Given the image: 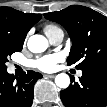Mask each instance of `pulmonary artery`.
<instances>
[{
  "mask_svg": "<svg viewBox=\"0 0 107 107\" xmlns=\"http://www.w3.org/2000/svg\"><path fill=\"white\" fill-rule=\"evenodd\" d=\"M49 39L53 44H60L64 39V33H63V31H59V32L55 33L54 35H52L51 37H49ZM78 75L81 76L82 72L79 71Z\"/></svg>",
  "mask_w": 107,
  "mask_h": 107,
  "instance_id": "pulmonary-artery-1",
  "label": "pulmonary artery"
}]
</instances>
